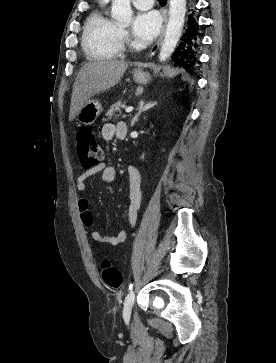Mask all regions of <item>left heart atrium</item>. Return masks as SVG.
<instances>
[{"mask_svg":"<svg viewBox=\"0 0 276 363\" xmlns=\"http://www.w3.org/2000/svg\"><path fill=\"white\" fill-rule=\"evenodd\" d=\"M161 28V16L157 11L138 12L133 21V33L142 41L154 39Z\"/></svg>","mask_w":276,"mask_h":363,"instance_id":"39dd6f15","label":"left heart atrium"}]
</instances>
